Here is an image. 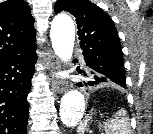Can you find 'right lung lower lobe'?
Returning <instances> with one entry per match:
<instances>
[{"mask_svg": "<svg viewBox=\"0 0 153 134\" xmlns=\"http://www.w3.org/2000/svg\"><path fill=\"white\" fill-rule=\"evenodd\" d=\"M36 46L0 61V134H27Z\"/></svg>", "mask_w": 153, "mask_h": 134, "instance_id": "right-lung-lower-lobe-1", "label": "right lung lower lobe"}]
</instances>
